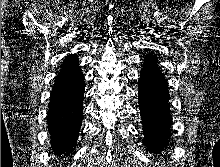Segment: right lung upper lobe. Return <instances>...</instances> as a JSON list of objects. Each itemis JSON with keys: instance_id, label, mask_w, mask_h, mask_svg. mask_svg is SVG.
Segmentation results:
<instances>
[{"instance_id": "obj_1", "label": "right lung upper lobe", "mask_w": 220, "mask_h": 167, "mask_svg": "<svg viewBox=\"0 0 220 167\" xmlns=\"http://www.w3.org/2000/svg\"><path fill=\"white\" fill-rule=\"evenodd\" d=\"M76 63H78V58L74 55H68V57L64 60L62 67L74 65Z\"/></svg>"}]
</instances>
